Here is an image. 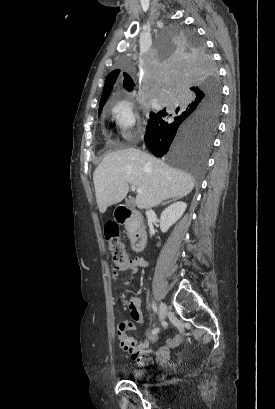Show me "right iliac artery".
Listing matches in <instances>:
<instances>
[{"label":"right iliac artery","mask_w":275,"mask_h":409,"mask_svg":"<svg viewBox=\"0 0 275 409\" xmlns=\"http://www.w3.org/2000/svg\"><path fill=\"white\" fill-rule=\"evenodd\" d=\"M152 308H153L154 312H157V307L154 304H152ZM158 332H159V328H155L153 330V333H158Z\"/></svg>","instance_id":"right-iliac-artery-1"}]
</instances>
